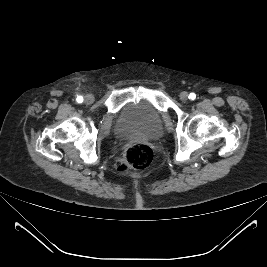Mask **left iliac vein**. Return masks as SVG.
Returning <instances> with one entry per match:
<instances>
[{"mask_svg":"<svg viewBox=\"0 0 267 267\" xmlns=\"http://www.w3.org/2000/svg\"><path fill=\"white\" fill-rule=\"evenodd\" d=\"M180 99H181V101L186 102L188 100V93L185 91L181 92L180 93Z\"/></svg>","mask_w":267,"mask_h":267,"instance_id":"1","label":"left iliac vein"}]
</instances>
